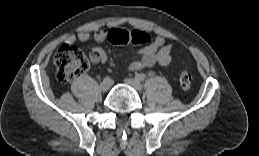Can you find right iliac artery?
I'll return each mask as SVG.
<instances>
[{"label": "right iliac artery", "mask_w": 259, "mask_h": 156, "mask_svg": "<svg viewBox=\"0 0 259 156\" xmlns=\"http://www.w3.org/2000/svg\"><path fill=\"white\" fill-rule=\"evenodd\" d=\"M104 80L105 81H110V78L109 77H105Z\"/></svg>", "instance_id": "obj_1"}]
</instances>
